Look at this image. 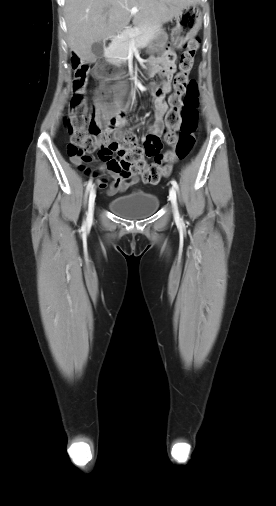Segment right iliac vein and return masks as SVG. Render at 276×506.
<instances>
[{
  "mask_svg": "<svg viewBox=\"0 0 276 506\" xmlns=\"http://www.w3.org/2000/svg\"><path fill=\"white\" fill-rule=\"evenodd\" d=\"M95 198H96V191H95V188L92 187L90 190L89 199H88V213H87V215H88L89 220H92V218H93Z\"/></svg>",
  "mask_w": 276,
  "mask_h": 506,
  "instance_id": "63e3f726",
  "label": "right iliac vein"
}]
</instances>
